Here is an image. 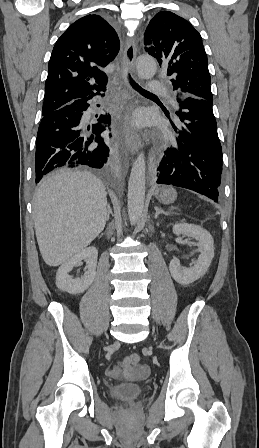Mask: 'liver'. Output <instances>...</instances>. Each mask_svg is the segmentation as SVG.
<instances>
[{"label": "liver", "mask_w": 259, "mask_h": 448, "mask_svg": "<svg viewBox=\"0 0 259 448\" xmlns=\"http://www.w3.org/2000/svg\"><path fill=\"white\" fill-rule=\"evenodd\" d=\"M106 188L90 172L63 170L41 180L33 196L40 254L60 266L89 246L107 222Z\"/></svg>", "instance_id": "6515ba94"}]
</instances>
